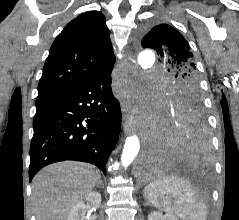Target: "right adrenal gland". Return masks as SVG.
Listing matches in <instances>:
<instances>
[{
	"label": "right adrenal gland",
	"instance_id": "obj_1",
	"mask_svg": "<svg viewBox=\"0 0 239 220\" xmlns=\"http://www.w3.org/2000/svg\"><path fill=\"white\" fill-rule=\"evenodd\" d=\"M98 185H100V187H101V188H103V187H104V185H103V182H102V180H101V179H99V181H98V183H97V186H98Z\"/></svg>",
	"mask_w": 239,
	"mask_h": 220
}]
</instances>
